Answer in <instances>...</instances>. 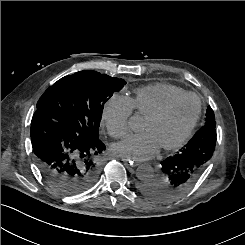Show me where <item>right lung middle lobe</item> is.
Wrapping results in <instances>:
<instances>
[{
    "mask_svg": "<svg viewBox=\"0 0 245 245\" xmlns=\"http://www.w3.org/2000/svg\"><path fill=\"white\" fill-rule=\"evenodd\" d=\"M125 84L124 79L96 71H80L50 86L36 107L68 125L84 139H97L104 104Z\"/></svg>",
    "mask_w": 245,
    "mask_h": 245,
    "instance_id": "1",
    "label": "right lung middle lobe"
}]
</instances>
